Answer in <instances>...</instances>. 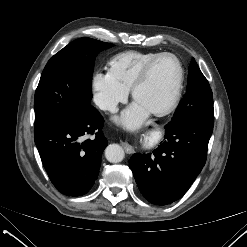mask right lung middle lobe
<instances>
[{"mask_svg":"<svg viewBox=\"0 0 247 247\" xmlns=\"http://www.w3.org/2000/svg\"><path fill=\"white\" fill-rule=\"evenodd\" d=\"M112 46L95 39L80 38L48 61L35 92V133L91 106L95 58Z\"/></svg>","mask_w":247,"mask_h":247,"instance_id":"obj_1","label":"right lung middle lobe"}]
</instances>
